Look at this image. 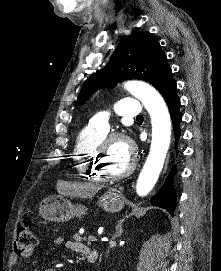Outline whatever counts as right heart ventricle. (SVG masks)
I'll list each match as a JSON object with an SVG mask.
<instances>
[{
	"instance_id": "right-heart-ventricle-1",
	"label": "right heart ventricle",
	"mask_w": 221,
	"mask_h": 271,
	"mask_svg": "<svg viewBox=\"0 0 221 271\" xmlns=\"http://www.w3.org/2000/svg\"><path fill=\"white\" fill-rule=\"evenodd\" d=\"M98 144H108L107 136L104 134H96L91 138H79L75 150L81 154H75L74 164H81L77 167V175L79 179H101L98 174L97 164H94L96 158V150Z\"/></svg>"
}]
</instances>
